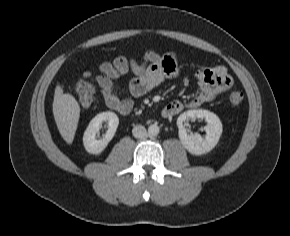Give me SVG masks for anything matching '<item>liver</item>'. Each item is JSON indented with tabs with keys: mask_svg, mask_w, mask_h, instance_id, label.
Listing matches in <instances>:
<instances>
[{
	"mask_svg": "<svg viewBox=\"0 0 290 236\" xmlns=\"http://www.w3.org/2000/svg\"><path fill=\"white\" fill-rule=\"evenodd\" d=\"M53 115L62 138L71 144L78 126L80 106L74 96L63 93L59 84L54 92Z\"/></svg>",
	"mask_w": 290,
	"mask_h": 236,
	"instance_id": "6515ba94",
	"label": "liver"
}]
</instances>
